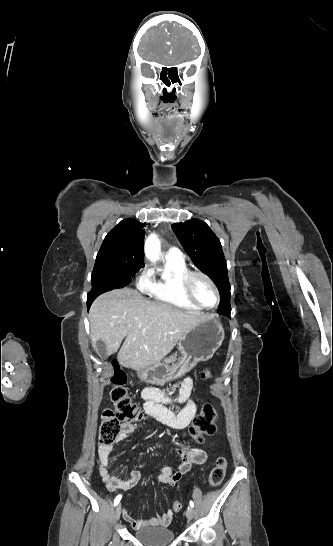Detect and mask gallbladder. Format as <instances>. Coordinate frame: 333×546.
I'll list each match as a JSON object with an SVG mask.
<instances>
[{
	"mask_svg": "<svg viewBox=\"0 0 333 546\" xmlns=\"http://www.w3.org/2000/svg\"><path fill=\"white\" fill-rule=\"evenodd\" d=\"M96 347H97V351L100 353V355L103 357V358H108L109 355L107 354L106 352V345L103 341H98L97 344H96Z\"/></svg>",
	"mask_w": 333,
	"mask_h": 546,
	"instance_id": "obj_1",
	"label": "gallbladder"
}]
</instances>
